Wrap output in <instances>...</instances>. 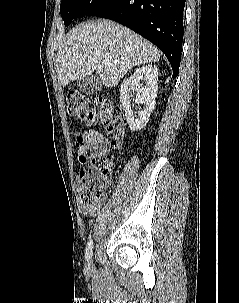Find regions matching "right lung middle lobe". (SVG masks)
Masks as SVG:
<instances>
[{"instance_id":"right-lung-middle-lobe-1","label":"right lung middle lobe","mask_w":239,"mask_h":303,"mask_svg":"<svg viewBox=\"0 0 239 303\" xmlns=\"http://www.w3.org/2000/svg\"><path fill=\"white\" fill-rule=\"evenodd\" d=\"M105 1L106 0H62L60 13L65 26H68L75 18L88 15Z\"/></svg>"}]
</instances>
